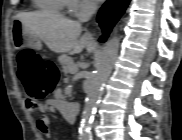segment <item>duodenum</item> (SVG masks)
<instances>
[{
  "label": "duodenum",
  "mask_w": 182,
  "mask_h": 140,
  "mask_svg": "<svg viewBox=\"0 0 182 140\" xmlns=\"http://www.w3.org/2000/svg\"><path fill=\"white\" fill-rule=\"evenodd\" d=\"M60 111L67 117L71 122L75 121L78 113V105L75 103H63L59 107Z\"/></svg>",
  "instance_id": "410a0bca"
}]
</instances>
